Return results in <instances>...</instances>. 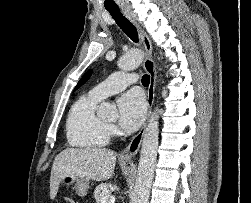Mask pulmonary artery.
Listing matches in <instances>:
<instances>
[{
  "instance_id": "obj_1",
  "label": "pulmonary artery",
  "mask_w": 251,
  "mask_h": 203,
  "mask_svg": "<svg viewBox=\"0 0 251 203\" xmlns=\"http://www.w3.org/2000/svg\"><path fill=\"white\" fill-rule=\"evenodd\" d=\"M137 81V75L133 73L118 72L96 85L90 90V94L98 99H104L107 96L125 89Z\"/></svg>"
}]
</instances>
